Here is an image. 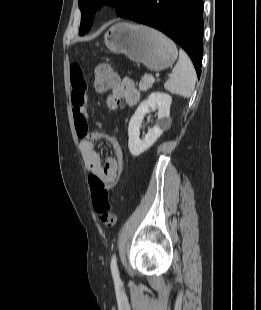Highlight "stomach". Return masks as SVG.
I'll return each mask as SVG.
<instances>
[{
    "label": "stomach",
    "mask_w": 261,
    "mask_h": 310,
    "mask_svg": "<svg viewBox=\"0 0 261 310\" xmlns=\"http://www.w3.org/2000/svg\"><path fill=\"white\" fill-rule=\"evenodd\" d=\"M106 47L115 54L144 64L151 71L171 67L178 51L175 44L160 32L144 25L117 23L104 36Z\"/></svg>",
    "instance_id": "1"
}]
</instances>
